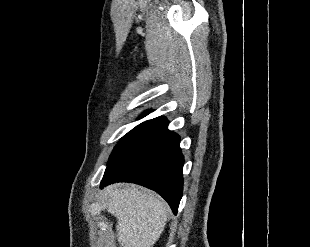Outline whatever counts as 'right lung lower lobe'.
Wrapping results in <instances>:
<instances>
[{
	"instance_id": "right-lung-lower-lobe-1",
	"label": "right lung lower lobe",
	"mask_w": 310,
	"mask_h": 247,
	"mask_svg": "<svg viewBox=\"0 0 310 247\" xmlns=\"http://www.w3.org/2000/svg\"><path fill=\"white\" fill-rule=\"evenodd\" d=\"M179 136L165 117L147 122L110 161L100 187L132 182L159 193L177 213L182 198L184 157Z\"/></svg>"
}]
</instances>
